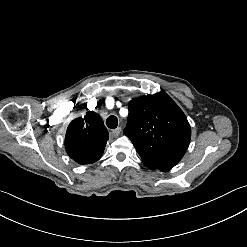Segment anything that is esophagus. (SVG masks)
I'll use <instances>...</instances> for the list:
<instances>
[{
    "label": "esophagus",
    "mask_w": 247,
    "mask_h": 247,
    "mask_svg": "<svg viewBox=\"0 0 247 247\" xmlns=\"http://www.w3.org/2000/svg\"><path fill=\"white\" fill-rule=\"evenodd\" d=\"M120 132H121V127H118V128L111 131V136L117 137L120 134Z\"/></svg>",
    "instance_id": "esophagus-1"
}]
</instances>
